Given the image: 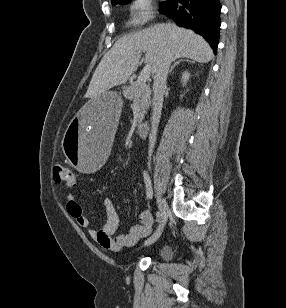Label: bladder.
<instances>
[{
	"label": "bladder",
	"instance_id": "31cf9c89",
	"mask_svg": "<svg viewBox=\"0 0 286 308\" xmlns=\"http://www.w3.org/2000/svg\"><path fill=\"white\" fill-rule=\"evenodd\" d=\"M170 249L168 246H161L157 249L156 254L159 258L165 259L168 257Z\"/></svg>",
	"mask_w": 286,
	"mask_h": 308
}]
</instances>
